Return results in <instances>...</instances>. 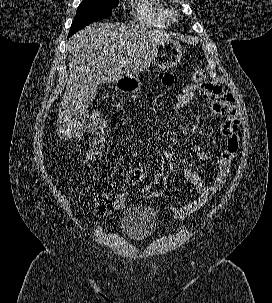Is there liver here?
Instances as JSON below:
<instances>
[{
	"mask_svg": "<svg viewBox=\"0 0 272 303\" xmlns=\"http://www.w3.org/2000/svg\"><path fill=\"white\" fill-rule=\"evenodd\" d=\"M168 40L170 34L134 23H93L74 34L68 41L70 74L59 106L58 136H77L98 85L148 69L159 46Z\"/></svg>",
	"mask_w": 272,
	"mask_h": 303,
	"instance_id": "6515ba94",
	"label": "liver"
}]
</instances>
